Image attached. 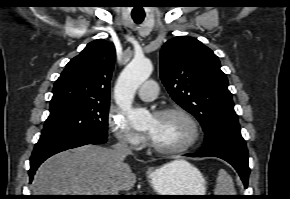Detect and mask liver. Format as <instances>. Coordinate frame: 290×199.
<instances>
[{"mask_svg": "<svg viewBox=\"0 0 290 199\" xmlns=\"http://www.w3.org/2000/svg\"><path fill=\"white\" fill-rule=\"evenodd\" d=\"M113 149L85 145L58 153L37 170L33 195H118L133 188L136 176ZM175 160L169 165L176 166Z\"/></svg>", "mask_w": 290, "mask_h": 199, "instance_id": "6515ba94", "label": "liver"}]
</instances>
